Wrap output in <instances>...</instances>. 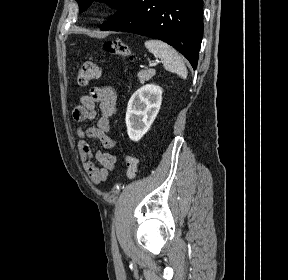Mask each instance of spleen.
Segmentation results:
<instances>
[{"mask_svg": "<svg viewBox=\"0 0 288 280\" xmlns=\"http://www.w3.org/2000/svg\"><path fill=\"white\" fill-rule=\"evenodd\" d=\"M145 46L150 53L162 60L163 66L167 71L177 73L183 79L187 78V68L173 47L155 39L147 40Z\"/></svg>", "mask_w": 288, "mask_h": 280, "instance_id": "spleen-1", "label": "spleen"}]
</instances>
